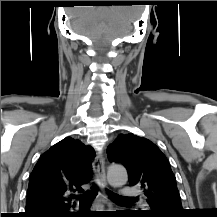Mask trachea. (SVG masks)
Returning a JSON list of instances; mask_svg holds the SVG:
<instances>
[{"label": "trachea", "mask_w": 217, "mask_h": 217, "mask_svg": "<svg viewBox=\"0 0 217 217\" xmlns=\"http://www.w3.org/2000/svg\"><path fill=\"white\" fill-rule=\"evenodd\" d=\"M96 193H97V188L94 185L92 187V191H86L85 193L77 196L76 198L79 199L80 206H89L92 203L93 199L95 198ZM107 194L113 201H123V200H128V199L129 200L134 199V198H127V197L120 196L109 190H107Z\"/></svg>", "instance_id": "obj_1"}]
</instances>
